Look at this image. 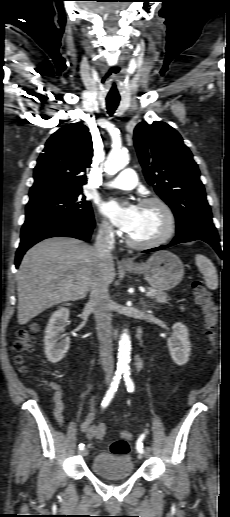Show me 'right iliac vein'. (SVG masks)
I'll return each instance as SVG.
<instances>
[{"mask_svg": "<svg viewBox=\"0 0 230 517\" xmlns=\"http://www.w3.org/2000/svg\"><path fill=\"white\" fill-rule=\"evenodd\" d=\"M80 455L83 456V457L87 456L88 455V449L84 448L83 450H81Z\"/></svg>", "mask_w": 230, "mask_h": 517, "instance_id": "63e3f726", "label": "right iliac vein"}]
</instances>
